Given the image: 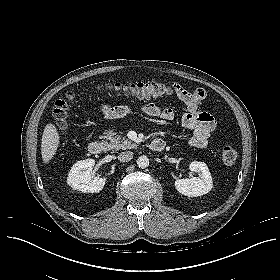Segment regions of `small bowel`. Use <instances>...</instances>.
<instances>
[{
    "mask_svg": "<svg viewBox=\"0 0 280 280\" xmlns=\"http://www.w3.org/2000/svg\"><path fill=\"white\" fill-rule=\"evenodd\" d=\"M173 92L181 100L186 108L182 116V126L191 131L190 144L204 148L208 145L213 133L216 131L217 122L215 118L208 112L200 109L206 98V91L197 88L189 91L179 84H172ZM141 111L148 116L160 118L163 121H172L175 118L174 110L166 107H160L155 103H147ZM105 117L116 119L127 114V110L123 105H106L102 109Z\"/></svg>",
    "mask_w": 280,
    "mask_h": 280,
    "instance_id": "small-bowel-1",
    "label": "small bowel"
}]
</instances>
